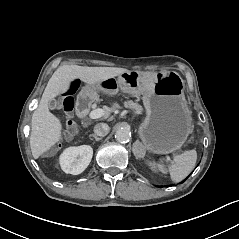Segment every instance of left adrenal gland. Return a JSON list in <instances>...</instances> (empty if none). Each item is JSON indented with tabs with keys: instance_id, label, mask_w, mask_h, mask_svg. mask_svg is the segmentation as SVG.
<instances>
[{
	"instance_id": "left-adrenal-gland-1",
	"label": "left adrenal gland",
	"mask_w": 239,
	"mask_h": 239,
	"mask_svg": "<svg viewBox=\"0 0 239 239\" xmlns=\"http://www.w3.org/2000/svg\"><path fill=\"white\" fill-rule=\"evenodd\" d=\"M136 145H140V144H139V141H136V143H135L134 146H133V152H134L135 155H136V150H135Z\"/></svg>"
}]
</instances>
